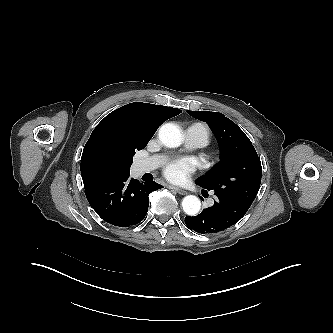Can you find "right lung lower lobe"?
Returning <instances> with one entry per match:
<instances>
[{"label":"right lung lower lobe","instance_id":"right-lung-lower-lobe-1","mask_svg":"<svg viewBox=\"0 0 333 333\" xmlns=\"http://www.w3.org/2000/svg\"><path fill=\"white\" fill-rule=\"evenodd\" d=\"M163 188L156 182L139 183L129 174L112 176L85 188L89 204L106 222L128 227L141 222L148 211V196Z\"/></svg>","mask_w":333,"mask_h":333}]
</instances>
